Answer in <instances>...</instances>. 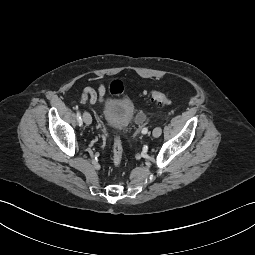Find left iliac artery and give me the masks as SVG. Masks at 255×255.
Instances as JSON below:
<instances>
[{"label":"left iliac artery","mask_w":255,"mask_h":255,"mask_svg":"<svg viewBox=\"0 0 255 255\" xmlns=\"http://www.w3.org/2000/svg\"><path fill=\"white\" fill-rule=\"evenodd\" d=\"M147 132H148V127L144 126L143 129H142V133H147Z\"/></svg>","instance_id":"obj_1"}]
</instances>
